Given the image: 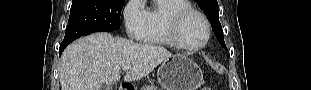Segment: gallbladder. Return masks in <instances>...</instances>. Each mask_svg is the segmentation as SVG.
<instances>
[{"instance_id": "obj_1", "label": "gallbladder", "mask_w": 311, "mask_h": 90, "mask_svg": "<svg viewBox=\"0 0 311 90\" xmlns=\"http://www.w3.org/2000/svg\"><path fill=\"white\" fill-rule=\"evenodd\" d=\"M101 90H112V86L108 84L101 85Z\"/></svg>"}]
</instances>
